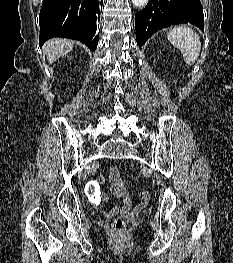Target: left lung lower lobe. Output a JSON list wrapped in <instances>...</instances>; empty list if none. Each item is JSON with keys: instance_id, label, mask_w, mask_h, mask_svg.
Here are the masks:
<instances>
[{"instance_id": "left-lung-lower-lobe-1", "label": "left lung lower lobe", "mask_w": 233, "mask_h": 263, "mask_svg": "<svg viewBox=\"0 0 233 263\" xmlns=\"http://www.w3.org/2000/svg\"><path fill=\"white\" fill-rule=\"evenodd\" d=\"M180 23H190L204 31L200 0H150L144 9L135 14L138 46L142 47L157 30Z\"/></svg>"}]
</instances>
